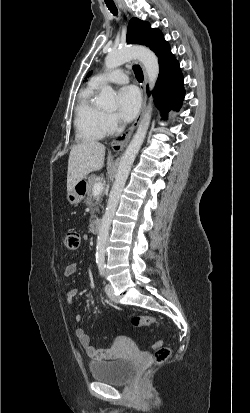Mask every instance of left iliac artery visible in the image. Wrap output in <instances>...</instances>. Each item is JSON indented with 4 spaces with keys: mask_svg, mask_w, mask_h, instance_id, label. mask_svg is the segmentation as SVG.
I'll use <instances>...</instances> for the list:
<instances>
[{
    "mask_svg": "<svg viewBox=\"0 0 250 413\" xmlns=\"http://www.w3.org/2000/svg\"><path fill=\"white\" fill-rule=\"evenodd\" d=\"M99 271L101 275H104V271H105V265L104 264H99Z\"/></svg>",
    "mask_w": 250,
    "mask_h": 413,
    "instance_id": "44dca946",
    "label": "left iliac artery"
}]
</instances>
